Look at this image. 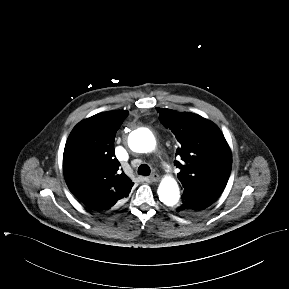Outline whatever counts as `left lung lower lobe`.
<instances>
[{
    "mask_svg": "<svg viewBox=\"0 0 289 289\" xmlns=\"http://www.w3.org/2000/svg\"><path fill=\"white\" fill-rule=\"evenodd\" d=\"M213 202L214 200L206 196L184 193L182 195V204L177 207L176 211L182 214L195 215Z\"/></svg>",
    "mask_w": 289,
    "mask_h": 289,
    "instance_id": "1",
    "label": "left lung lower lobe"
}]
</instances>
